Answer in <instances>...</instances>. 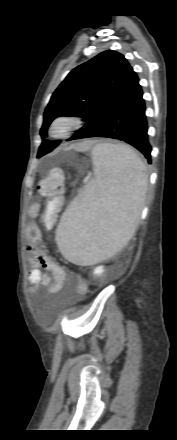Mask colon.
<instances>
[{
	"label": "colon",
	"instance_id": "1",
	"mask_svg": "<svg viewBox=\"0 0 177 440\" xmlns=\"http://www.w3.org/2000/svg\"><path fill=\"white\" fill-rule=\"evenodd\" d=\"M40 194L46 198V206L41 215L43 224H49L59 209L64 194V174L60 167L52 168L40 182Z\"/></svg>",
	"mask_w": 177,
	"mask_h": 440
}]
</instances>
